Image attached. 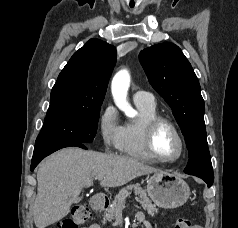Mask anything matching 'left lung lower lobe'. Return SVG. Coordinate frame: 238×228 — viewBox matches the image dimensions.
<instances>
[{"label": "left lung lower lobe", "mask_w": 238, "mask_h": 228, "mask_svg": "<svg viewBox=\"0 0 238 228\" xmlns=\"http://www.w3.org/2000/svg\"><path fill=\"white\" fill-rule=\"evenodd\" d=\"M185 173H187V172H185ZM187 174L194 175V176H197V177L203 179L207 183L208 187H210L212 185L213 180H214V177H210L208 175H203V174H199V173H187Z\"/></svg>", "instance_id": "left-lung-lower-lobe-1"}]
</instances>
